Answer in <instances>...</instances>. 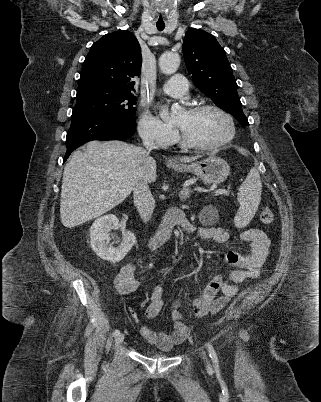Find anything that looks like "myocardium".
<instances>
[{"instance_id":"f54148a6","label":"myocardium","mask_w":321,"mask_h":402,"mask_svg":"<svg viewBox=\"0 0 321 402\" xmlns=\"http://www.w3.org/2000/svg\"><path fill=\"white\" fill-rule=\"evenodd\" d=\"M208 109L217 111L226 119V121L228 122V125H229V132H228L227 136L224 137L223 139H221L220 141L212 143V144H201V143H197V142L189 139L188 136L181 129H179L180 141L184 147L196 149V150L210 151V150H215V149L224 147L234 139V137L236 135V126H235L234 119L230 113H228L225 109H223L219 105H216L213 103L197 104V105L191 106L188 109V111L189 112H200V111L208 110Z\"/></svg>"}]
</instances>
